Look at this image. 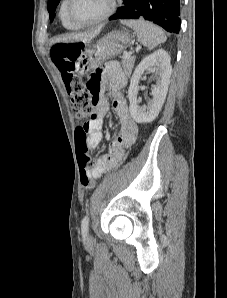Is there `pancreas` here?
I'll use <instances>...</instances> for the list:
<instances>
[{
    "instance_id": "1",
    "label": "pancreas",
    "mask_w": 227,
    "mask_h": 298,
    "mask_svg": "<svg viewBox=\"0 0 227 298\" xmlns=\"http://www.w3.org/2000/svg\"><path fill=\"white\" fill-rule=\"evenodd\" d=\"M134 62H135V57H128V58H124L122 61V66L124 69L125 74L130 75L132 68L134 66Z\"/></svg>"
}]
</instances>
